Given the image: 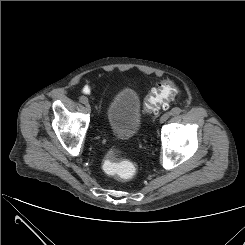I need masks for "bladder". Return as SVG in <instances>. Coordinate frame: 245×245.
Wrapping results in <instances>:
<instances>
[{
	"label": "bladder",
	"instance_id": "bladder-1",
	"mask_svg": "<svg viewBox=\"0 0 245 245\" xmlns=\"http://www.w3.org/2000/svg\"><path fill=\"white\" fill-rule=\"evenodd\" d=\"M105 117L117 136L130 138L138 134L143 123L139 94L131 88L120 90L108 104Z\"/></svg>",
	"mask_w": 245,
	"mask_h": 245
}]
</instances>
